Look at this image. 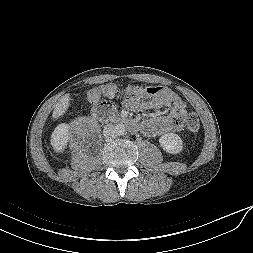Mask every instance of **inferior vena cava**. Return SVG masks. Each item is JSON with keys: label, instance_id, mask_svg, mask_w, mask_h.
<instances>
[{"label": "inferior vena cava", "instance_id": "1", "mask_svg": "<svg viewBox=\"0 0 253 253\" xmlns=\"http://www.w3.org/2000/svg\"><path fill=\"white\" fill-rule=\"evenodd\" d=\"M103 135L106 139L114 138L116 136L115 131H114V126L106 125L103 129Z\"/></svg>", "mask_w": 253, "mask_h": 253}]
</instances>
